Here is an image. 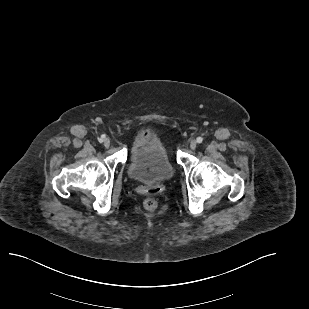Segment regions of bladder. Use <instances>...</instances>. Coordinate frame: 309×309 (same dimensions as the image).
<instances>
[{"mask_svg":"<svg viewBox=\"0 0 309 309\" xmlns=\"http://www.w3.org/2000/svg\"><path fill=\"white\" fill-rule=\"evenodd\" d=\"M128 175L132 180L143 184L166 182L174 176V167L159 138L140 137L133 143Z\"/></svg>","mask_w":309,"mask_h":309,"instance_id":"bladder-1","label":"bladder"}]
</instances>
